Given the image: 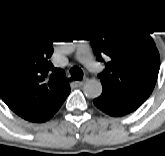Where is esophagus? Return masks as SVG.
Returning <instances> with one entry per match:
<instances>
[{"label": "esophagus", "mask_w": 165, "mask_h": 156, "mask_svg": "<svg viewBox=\"0 0 165 156\" xmlns=\"http://www.w3.org/2000/svg\"><path fill=\"white\" fill-rule=\"evenodd\" d=\"M85 81H86V79H84L83 81H76L75 84H76V86H82Z\"/></svg>", "instance_id": "esophagus-1"}]
</instances>
